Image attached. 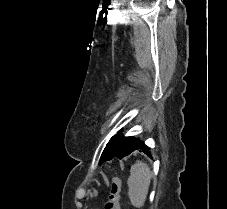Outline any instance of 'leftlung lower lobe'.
<instances>
[{
    "label": "left lung lower lobe",
    "mask_w": 227,
    "mask_h": 209,
    "mask_svg": "<svg viewBox=\"0 0 227 209\" xmlns=\"http://www.w3.org/2000/svg\"><path fill=\"white\" fill-rule=\"evenodd\" d=\"M150 148L147 147L143 142H141L140 140L135 139L133 145L131 146V148L122 156L125 157L127 155H129L131 152L135 151V150H143L144 153L148 154V156L150 155V151H148ZM120 158V159H122Z\"/></svg>",
    "instance_id": "obj_1"
}]
</instances>
